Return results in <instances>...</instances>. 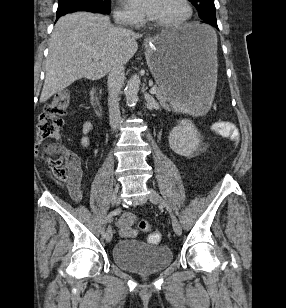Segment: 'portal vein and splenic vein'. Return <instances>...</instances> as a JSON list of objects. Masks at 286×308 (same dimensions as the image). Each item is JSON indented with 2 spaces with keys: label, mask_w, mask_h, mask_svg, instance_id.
Returning a JSON list of instances; mask_svg holds the SVG:
<instances>
[{
  "label": "portal vein and splenic vein",
  "mask_w": 286,
  "mask_h": 308,
  "mask_svg": "<svg viewBox=\"0 0 286 308\" xmlns=\"http://www.w3.org/2000/svg\"><path fill=\"white\" fill-rule=\"evenodd\" d=\"M91 52H92L93 59H95V60L100 59L101 56H100V54L97 51L92 50ZM157 92H158V89L156 87H152L150 89V94H156Z\"/></svg>",
  "instance_id": "portal-vein-and-splenic-vein-1"
}]
</instances>
